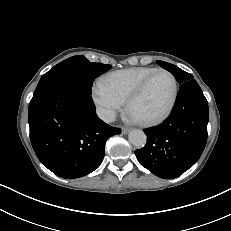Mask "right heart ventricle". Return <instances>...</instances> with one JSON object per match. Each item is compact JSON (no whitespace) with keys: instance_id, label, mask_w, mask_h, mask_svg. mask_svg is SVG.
I'll return each instance as SVG.
<instances>
[{"instance_id":"right-heart-ventricle-1","label":"right heart ventricle","mask_w":231,"mask_h":231,"mask_svg":"<svg viewBox=\"0 0 231 231\" xmlns=\"http://www.w3.org/2000/svg\"><path fill=\"white\" fill-rule=\"evenodd\" d=\"M151 67H135L109 73L103 77L100 84L108 92L125 102L128 96L153 71Z\"/></svg>"}]
</instances>
